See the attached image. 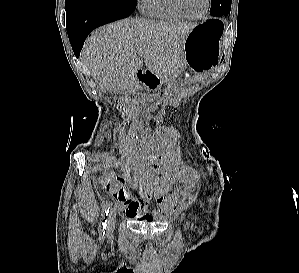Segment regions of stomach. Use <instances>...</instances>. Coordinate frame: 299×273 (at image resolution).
I'll return each mask as SVG.
<instances>
[{"label":"stomach","instance_id":"1","mask_svg":"<svg viewBox=\"0 0 299 273\" xmlns=\"http://www.w3.org/2000/svg\"><path fill=\"white\" fill-rule=\"evenodd\" d=\"M223 29L218 19L198 24L185 40V64L197 72L211 71L220 58Z\"/></svg>","mask_w":299,"mask_h":273}]
</instances>
